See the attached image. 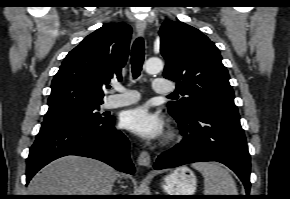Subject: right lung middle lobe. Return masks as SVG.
<instances>
[{
	"label": "right lung middle lobe",
	"instance_id": "right-lung-middle-lobe-1",
	"mask_svg": "<svg viewBox=\"0 0 290 199\" xmlns=\"http://www.w3.org/2000/svg\"><path fill=\"white\" fill-rule=\"evenodd\" d=\"M101 104L80 107L60 113L46 114L42 126L104 122L108 117L99 112Z\"/></svg>",
	"mask_w": 290,
	"mask_h": 199
}]
</instances>
